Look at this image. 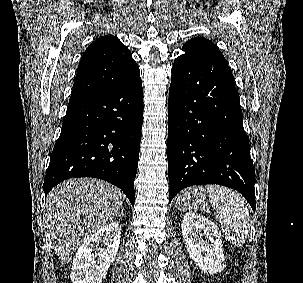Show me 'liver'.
<instances>
[{"label": "liver", "mask_w": 303, "mask_h": 283, "mask_svg": "<svg viewBox=\"0 0 303 283\" xmlns=\"http://www.w3.org/2000/svg\"><path fill=\"white\" fill-rule=\"evenodd\" d=\"M122 208L123 193L107 182L78 178L56 186L47 196L46 218L62 266L91 234L120 216Z\"/></svg>", "instance_id": "liver-1"}]
</instances>
